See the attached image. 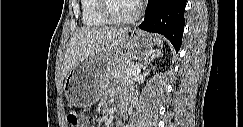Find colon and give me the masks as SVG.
<instances>
[{"mask_svg": "<svg viewBox=\"0 0 243 127\" xmlns=\"http://www.w3.org/2000/svg\"><path fill=\"white\" fill-rule=\"evenodd\" d=\"M67 122L70 127H84V118L76 110L67 113Z\"/></svg>", "mask_w": 243, "mask_h": 127, "instance_id": "1", "label": "colon"}]
</instances>
